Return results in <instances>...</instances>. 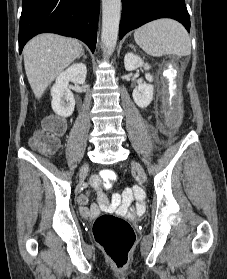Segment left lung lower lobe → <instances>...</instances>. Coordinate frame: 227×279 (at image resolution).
<instances>
[{"instance_id":"0a47b994","label":"left lung lower lobe","mask_w":227,"mask_h":279,"mask_svg":"<svg viewBox=\"0 0 227 279\" xmlns=\"http://www.w3.org/2000/svg\"><path fill=\"white\" fill-rule=\"evenodd\" d=\"M159 18L175 19L190 32L185 0H122L119 39L129 31Z\"/></svg>"}]
</instances>
